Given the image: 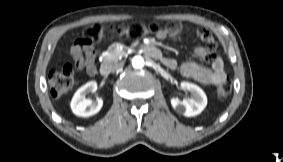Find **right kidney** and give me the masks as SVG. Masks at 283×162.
<instances>
[{
	"label": "right kidney",
	"instance_id": "1",
	"mask_svg": "<svg viewBox=\"0 0 283 162\" xmlns=\"http://www.w3.org/2000/svg\"><path fill=\"white\" fill-rule=\"evenodd\" d=\"M97 90V82L90 81L80 87L71 100L72 112L80 117H89L97 114L102 106L103 100L98 98L96 101L86 98V95Z\"/></svg>",
	"mask_w": 283,
	"mask_h": 162
}]
</instances>
